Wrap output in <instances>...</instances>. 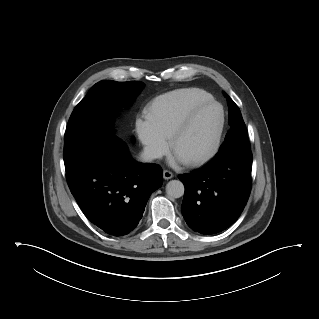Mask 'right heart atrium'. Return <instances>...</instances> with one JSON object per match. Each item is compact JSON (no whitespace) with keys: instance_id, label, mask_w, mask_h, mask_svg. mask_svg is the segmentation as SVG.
<instances>
[{"instance_id":"obj_1","label":"right heart atrium","mask_w":319,"mask_h":319,"mask_svg":"<svg viewBox=\"0 0 319 319\" xmlns=\"http://www.w3.org/2000/svg\"><path fill=\"white\" fill-rule=\"evenodd\" d=\"M135 129L148 156L161 158L168 148L167 139L144 117L138 116Z\"/></svg>"}]
</instances>
